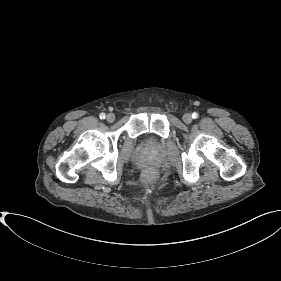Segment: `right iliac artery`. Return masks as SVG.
Here are the masks:
<instances>
[{
    "label": "right iliac artery",
    "mask_w": 281,
    "mask_h": 281,
    "mask_svg": "<svg viewBox=\"0 0 281 281\" xmlns=\"http://www.w3.org/2000/svg\"><path fill=\"white\" fill-rule=\"evenodd\" d=\"M99 117H100V119H105L106 115H105V113H101V114L99 115Z\"/></svg>",
    "instance_id": "obj_1"
}]
</instances>
